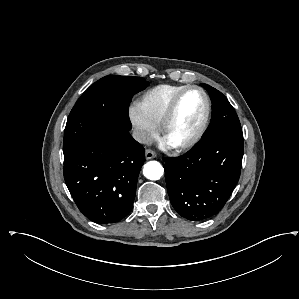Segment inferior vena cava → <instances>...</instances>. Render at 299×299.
Wrapping results in <instances>:
<instances>
[{"label":"inferior vena cava","mask_w":299,"mask_h":299,"mask_svg":"<svg viewBox=\"0 0 299 299\" xmlns=\"http://www.w3.org/2000/svg\"><path fill=\"white\" fill-rule=\"evenodd\" d=\"M133 138L141 144H151L152 138L150 134L144 130L134 129L132 132Z\"/></svg>","instance_id":"1"}]
</instances>
